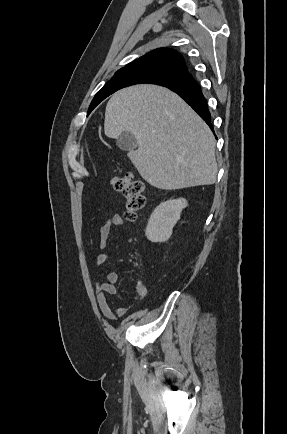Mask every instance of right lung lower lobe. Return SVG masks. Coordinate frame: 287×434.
Wrapping results in <instances>:
<instances>
[{
	"instance_id": "obj_1",
	"label": "right lung lower lobe",
	"mask_w": 287,
	"mask_h": 434,
	"mask_svg": "<svg viewBox=\"0 0 287 434\" xmlns=\"http://www.w3.org/2000/svg\"><path fill=\"white\" fill-rule=\"evenodd\" d=\"M182 97L199 116L213 129L207 101L202 94L199 84L191 74H187L182 80L165 86Z\"/></svg>"
}]
</instances>
